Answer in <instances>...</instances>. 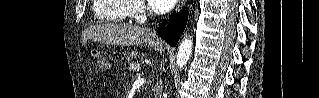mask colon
<instances>
[{"label":"colon","instance_id":"5ec220e1","mask_svg":"<svg viewBox=\"0 0 319 98\" xmlns=\"http://www.w3.org/2000/svg\"><path fill=\"white\" fill-rule=\"evenodd\" d=\"M92 57L95 60V63L100 69H106L108 66V61L105 57L100 55L97 51H92Z\"/></svg>","mask_w":319,"mask_h":98}]
</instances>
